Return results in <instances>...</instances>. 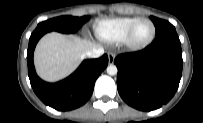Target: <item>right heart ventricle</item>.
<instances>
[{
	"label": "right heart ventricle",
	"mask_w": 203,
	"mask_h": 123,
	"mask_svg": "<svg viewBox=\"0 0 203 123\" xmlns=\"http://www.w3.org/2000/svg\"><path fill=\"white\" fill-rule=\"evenodd\" d=\"M139 17H121L100 20L95 24L97 38L104 42H122L129 28L137 22Z\"/></svg>",
	"instance_id": "e07e8e85"
}]
</instances>
